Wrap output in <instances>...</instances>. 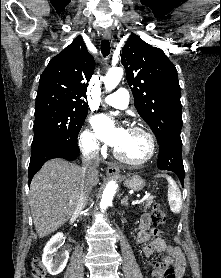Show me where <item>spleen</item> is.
Here are the masks:
<instances>
[{"label": "spleen", "instance_id": "3e777b00", "mask_svg": "<svg viewBox=\"0 0 221 278\" xmlns=\"http://www.w3.org/2000/svg\"><path fill=\"white\" fill-rule=\"evenodd\" d=\"M164 176L168 181V201L170 205V210L173 213H179L181 211L182 207V198H181V192L178 188L176 182L167 175H161Z\"/></svg>", "mask_w": 221, "mask_h": 278}]
</instances>
